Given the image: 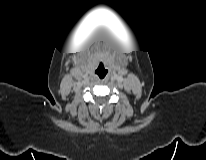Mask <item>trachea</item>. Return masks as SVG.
<instances>
[{
  "label": "trachea",
  "instance_id": "trachea-1",
  "mask_svg": "<svg viewBox=\"0 0 206 160\" xmlns=\"http://www.w3.org/2000/svg\"><path fill=\"white\" fill-rule=\"evenodd\" d=\"M97 74L99 75L100 78H104L106 72H104L103 74H100L99 72H97Z\"/></svg>",
  "mask_w": 206,
  "mask_h": 160
}]
</instances>
